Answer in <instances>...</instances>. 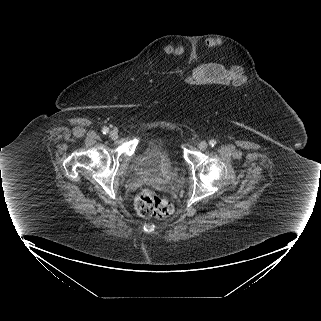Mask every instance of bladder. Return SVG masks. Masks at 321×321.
I'll return each instance as SVG.
<instances>
[{
    "label": "bladder",
    "instance_id": "1",
    "mask_svg": "<svg viewBox=\"0 0 321 321\" xmlns=\"http://www.w3.org/2000/svg\"><path fill=\"white\" fill-rule=\"evenodd\" d=\"M176 169L171 144L167 140L150 141L134 160L136 175L157 180L171 175Z\"/></svg>",
    "mask_w": 321,
    "mask_h": 321
}]
</instances>
